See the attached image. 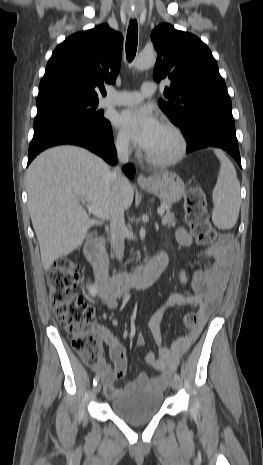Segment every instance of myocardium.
I'll return each instance as SVG.
<instances>
[{"label":"myocardium","mask_w":263,"mask_h":465,"mask_svg":"<svg viewBox=\"0 0 263 465\" xmlns=\"http://www.w3.org/2000/svg\"><path fill=\"white\" fill-rule=\"evenodd\" d=\"M164 128L169 130L174 137L177 140V149L175 153L169 157L166 158H156L151 156L150 154H146V159L149 163L152 165L158 166V167H166V166H171L173 164L178 163L183 159V157L186 154L187 150V140L182 132V130L175 124L167 122L163 125Z\"/></svg>","instance_id":"obj_1"}]
</instances>
